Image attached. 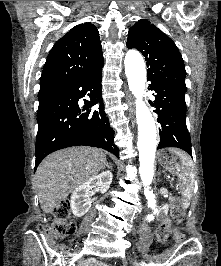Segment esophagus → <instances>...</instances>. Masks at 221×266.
<instances>
[{
  "mask_svg": "<svg viewBox=\"0 0 221 266\" xmlns=\"http://www.w3.org/2000/svg\"><path fill=\"white\" fill-rule=\"evenodd\" d=\"M126 101L129 104V106H130V110H129L130 114H132L133 113V103H132V99H131V95L130 94L126 95Z\"/></svg>",
  "mask_w": 221,
  "mask_h": 266,
  "instance_id": "obj_1",
  "label": "esophagus"
}]
</instances>
